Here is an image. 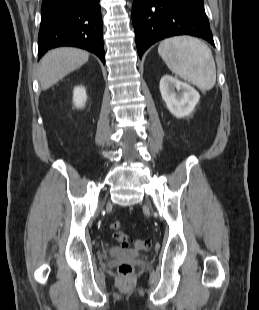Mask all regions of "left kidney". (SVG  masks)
<instances>
[{
	"instance_id": "5707ae66",
	"label": "left kidney",
	"mask_w": 259,
	"mask_h": 310,
	"mask_svg": "<svg viewBox=\"0 0 259 310\" xmlns=\"http://www.w3.org/2000/svg\"><path fill=\"white\" fill-rule=\"evenodd\" d=\"M160 93L168 110L177 118L188 116L200 99L198 91L192 86L171 75L161 78Z\"/></svg>"
}]
</instances>
